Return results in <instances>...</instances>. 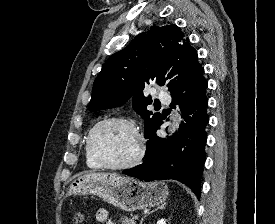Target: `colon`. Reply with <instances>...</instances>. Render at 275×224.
I'll return each instance as SVG.
<instances>
[{"instance_id":"1","label":"colon","mask_w":275,"mask_h":224,"mask_svg":"<svg viewBox=\"0 0 275 224\" xmlns=\"http://www.w3.org/2000/svg\"><path fill=\"white\" fill-rule=\"evenodd\" d=\"M74 220L76 224H81L84 221V216L81 213H77L74 216Z\"/></svg>"}]
</instances>
